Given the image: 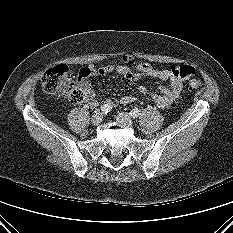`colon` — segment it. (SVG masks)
Wrapping results in <instances>:
<instances>
[{
	"mask_svg": "<svg viewBox=\"0 0 233 233\" xmlns=\"http://www.w3.org/2000/svg\"><path fill=\"white\" fill-rule=\"evenodd\" d=\"M175 74L182 79H189V88L192 90L201 86L199 80L192 78L195 74V69L192 66L184 65L177 68ZM42 88L46 94L58 95L73 104H78L84 100L81 90L74 86L70 69L66 65H57L48 69L42 77Z\"/></svg>",
	"mask_w": 233,
	"mask_h": 233,
	"instance_id": "colon-1",
	"label": "colon"
}]
</instances>
